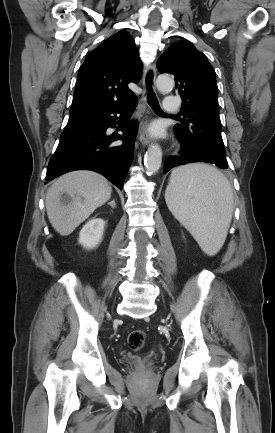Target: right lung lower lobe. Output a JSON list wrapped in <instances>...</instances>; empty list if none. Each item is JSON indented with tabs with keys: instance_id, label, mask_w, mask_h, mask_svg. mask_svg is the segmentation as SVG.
<instances>
[{
	"instance_id": "98d812e1",
	"label": "right lung lower lobe",
	"mask_w": 275,
	"mask_h": 433,
	"mask_svg": "<svg viewBox=\"0 0 275 433\" xmlns=\"http://www.w3.org/2000/svg\"><path fill=\"white\" fill-rule=\"evenodd\" d=\"M130 103L98 108L69 119L49 161L46 183L70 171L92 170L122 189L134 153L138 124L132 120L123 125L122 135H107L106 130L116 126V114L122 117ZM120 139L124 141L121 145L113 144Z\"/></svg>"
}]
</instances>
